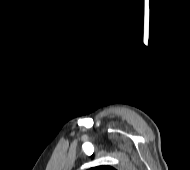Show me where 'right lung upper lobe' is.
<instances>
[{"label":"right lung upper lobe","mask_w":190,"mask_h":170,"mask_svg":"<svg viewBox=\"0 0 190 170\" xmlns=\"http://www.w3.org/2000/svg\"><path fill=\"white\" fill-rule=\"evenodd\" d=\"M89 170H115V169L110 166H98V167L91 168Z\"/></svg>","instance_id":"obj_1"}]
</instances>
